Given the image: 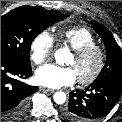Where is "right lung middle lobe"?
Wrapping results in <instances>:
<instances>
[{"mask_svg": "<svg viewBox=\"0 0 122 122\" xmlns=\"http://www.w3.org/2000/svg\"><path fill=\"white\" fill-rule=\"evenodd\" d=\"M68 15L41 7L21 6L1 16V56L23 66L30 64V47L34 38Z\"/></svg>", "mask_w": 122, "mask_h": 122, "instance_id": "obj_1", "label": "right lung middle lobe"}]
</instances>
